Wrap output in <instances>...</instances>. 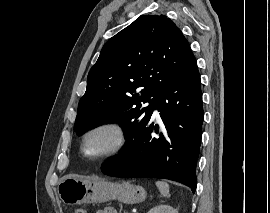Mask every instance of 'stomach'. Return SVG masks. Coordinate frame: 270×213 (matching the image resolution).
Wrapping results in <instances>:
<instances>
[{"label":"stomach","mask_w":270,"mask_h":213,"mask_svg":"<svg viewBox=\"0 0 270 213\" xmlns=\"http://www.w3.org/2000/svg\"><path fill=\"white\" fill-rule=\"evenodd\" d=\"M58 195L65 204L99 203L118 199L128 204L145 200L146 191L129 182H109L100 178L67 175L59 182Z\"/></svg>","instance_id":"obj_1"}]
</instances>
